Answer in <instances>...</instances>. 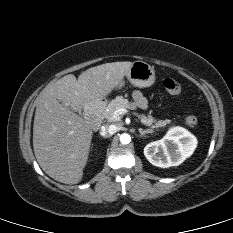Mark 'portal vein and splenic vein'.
I'll return each instance as SVG.
<instances>
[{"label": "portal vein and splenic vein", "mask_w": 233, "mask_h": 233, "mask_svg": "<svg viewBox=\"0 0 233 233\" xmlns=\"http://www.w3.org/2000/svg\"><path fill=\"white\" fill-rule=\"evenodd\" d=\"M126 112H127V110L124 109V108L117 109V110L114 112L112 118L115 119V120H118V119L120 118V115L125 114Z\"/></svg>", "instance_id": "1"}]
</instances>
